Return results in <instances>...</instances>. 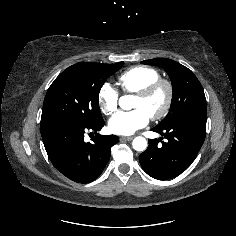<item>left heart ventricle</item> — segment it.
<instances>
[{"label":"left heart ventricle","mask_w":236,"mask_h":236,"mask_svg":"<svg viewBox=\"0 0 236 236\" xmlns=\"http://www.w3.org/2000/svg\"><path fill=\"white\" fill-rule=\"evenodd\" d=\"M165 101V92L164 90H158L149 98L143 99L135 96L133 101V108H141L145 110L149 116L154 113H157L163 107Z\"/></svg>","instance_id":"b2bd125f"}]
</instances>
